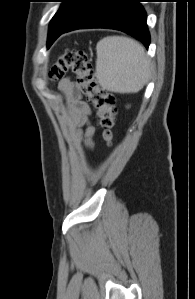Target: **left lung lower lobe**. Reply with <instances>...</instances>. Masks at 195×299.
Returning a JSON list of instances; mask_svg holds the SVG:
<instances>
[{"instance_id": "left-lung-lower-lobe-1", "label": "left lung lower lobe", "mask_w": 195, "mask_h": 299, "mask_svg": "<svg viewBox=\"0 0 195 299\" xmlns=\"http://www.w3.org/2000/svg\"><path fill=\"white\" fill-rule=\"evenodd\" d=\"M142 0H88L77 17L66 27L54 32L48 47L63 33L86 28H109L123 31L140 40L146 48L150 35Z\"/></svg>"}]
</instances>
